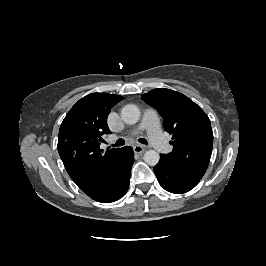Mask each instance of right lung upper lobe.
<instances>
[{"instance_id": "obj_1", "label": "right lung upper lobe", "mask_w": 266, "mask_h": 266, "mask_svg": "<svg viewBox=\"0 0 266 266\" xmlns=\"http://www.w3.org/2000/svg\"><path fill=\"white\" fill-rule=\"evenodd\" d=\"M122 96L91 93L80 99L64 118L58 137V152L76 185L89 197L106 182L121 148L103 153V136L111 133L107 116Z\"/></svg>"}]
</instances>
